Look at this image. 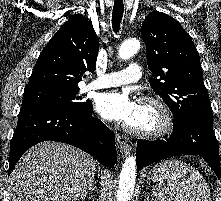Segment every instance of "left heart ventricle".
Returning a JSON list of instances; mask_svg holds the SVG:
<instances>
[{"label": "left heart ventricle", "mask_w": 221, "mask_h": 201, "mask_svg": "<svg viewBox=\"0 0 221 201\" xmlns=\"http://www.w3.org/2000/svg\"><path fill=\"white\" fill-rule=\"evenodd\" d=\"M157 123L158 116L153 107L138 105L137 114L129 124L137 128L147 129L155 127Z\"/></svg>", "instance_id": "b2bd125f"}]
</instances>
